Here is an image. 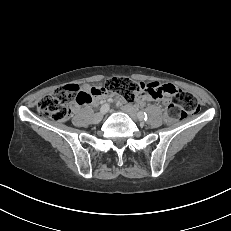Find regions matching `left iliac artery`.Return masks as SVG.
Masks as SVG:
<instances>
[{
  "label": "left iliac artery",
  "instance_id": "left-iliac-artery-1",
  "mask_svg": "<svg viewBox=\"0 0 231 231\" xmlns=\"http://www.w3.org/2000/svg\"><path fill=\"white\" fill-rule=\"evenodd\" d=\"M138 117L141 119V120H147L148 119V116L145 112H138Z\"/></svg>",
  "mask_w": 231,
  "mask_h": 231
}]
</instances>
